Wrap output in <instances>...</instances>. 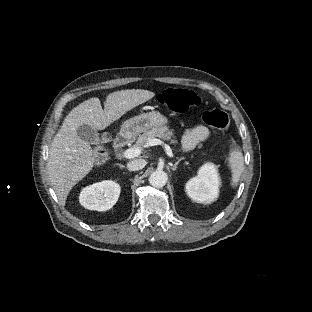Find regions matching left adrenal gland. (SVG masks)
I'll return each mask as SVG.
<instances>
[{"label": "left adrenal gland", "instance_id": "obj_1", "mask_svg": "<svg viewBox=\"0 0 312 312\" xmlns=\"http://www.w3.org/2000/svg\"><path fill=\"white\" fill-rule=\"evenodd\" d=\"M182 160H184V158L178 159L177 162H176L175 164H170V169H171L172 171H176V170H177V167H178V165H179V163H180Z\"/></svg>", "mask_w": 312, "mask_h": 312}]
</instances>
